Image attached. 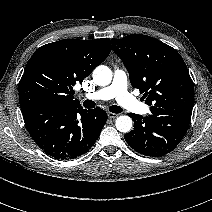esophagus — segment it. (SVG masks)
I'll return each instance as SVG.
<instances>
[{
  "label": "esophagus",
  "mask_w": 212,
  "mask_h": 212,
  "mask_svg": "<svg viewBox=\"0 0 212 212\" xmlns=\"http://www.w3.org/2000/svg\"><path fill=\"white\" fill-rule=\"evenodd\" d=\"M118 116V114H116V113H112V112H109L108 113V117L110 118V119H114V118H116Z\"/></svg>",
  "instance_id": "obj_1"
}]
</instances>
